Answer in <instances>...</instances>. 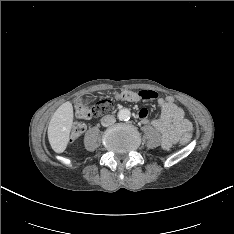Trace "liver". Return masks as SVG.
<instances>
[{"label":"liver","instance_id":"obj_1","mask_svg":"<svg viewBox=\"0 0 234 234\" xmlns=\"http://www.w3.org/2000/svg\"><path fill=\"white\" fill-rule=\"evenodd\" d=\"M72 123L73 106L67 101L54 112L48 126L49 143L56 153H62L66 149Z\"/></svg>","mask_w":234,"mask_h":234}]
</instances>
